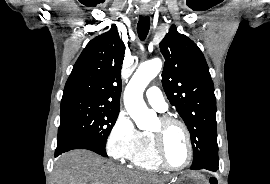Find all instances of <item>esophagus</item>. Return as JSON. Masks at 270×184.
<instances>
[{
    "mask_svg": "<svg viewBox=\"0 0 270 184\" xmlns=\"http://www.w3.org/2000/svg\"><path fill=\"white\" fill-rule=\"evenodd\" d=\"M140 13L144 16L148 15L149 14V9L147 8H141L140 9Z\"/></svg>",
    "mask_w": 270,
    "mask_h": 184,
    "instance_id": "obj_1",
    "label": "esophagus"
}]
</instances>
